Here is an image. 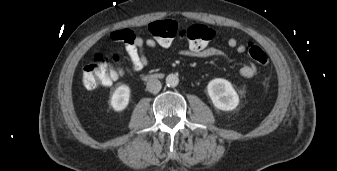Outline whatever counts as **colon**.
<instances>
[{
	"label": "colon",
	"mask_w": 337,
	"mask_h": 171,
	"mask_svg": "<svg viewBox=\"0 0 337 171\" xmlns=\"http://www.w3.org/2000/svg\"><path fill=\"white\" fill-rule=\"evenodd\" d=\"M150 34L163 48H171L176 40L186 41L193 52H200L212 40L214 31L203 24L180 26L174 20H158L149 25ZM247 51L250 57L261 66L269 64L265 51L256 43L249 42ZM120 57L96 52L91 61L83 68L82 85L87 90L109 86L121 74Z\"/></svg>",
	"instance_id": "obj_1"
}]
</instances>
